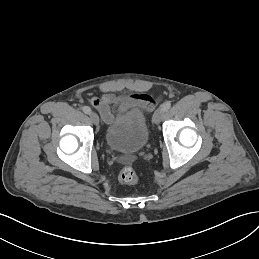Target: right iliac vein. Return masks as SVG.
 <instances>
[{
    "mask_svg": "<svg viewBox=\"0 0 259 259\" xmlns=\"http://www.w3.org/2000/svg\"><path fill=\"white\" fill-rule=\"evenodd\" d=\"M90 119L91 121L95 124L98 125L99 124V117L95 112H90L89 113Z\"/></svg>",
    "mask_w": 259,
    "mask_h": 259,
    "instance_id": "63e3f726",
    "label": "right iliac vein"
}]
</instances>
